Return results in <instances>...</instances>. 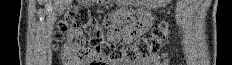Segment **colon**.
I'll return each mask as SVG.
<instances>
[{
  "mask_svg": "<svg viewBox=\"0 0 232 65\" xmlns=\"http://www.w3.org/2000/svg\"><path fill=\"white\" fill-rule=\"evenodd\" d=\"M68 28L83 31L87 37L89 46H84L85 36L82 34L77 41L75 54L88 65L134 63L156 53L167 42L169 35L167 24L161 22L147 34V37H140L136 45H124L117 37H105L98 20L82 6H72L68 9L55 32L56 42L63 39Z\"/></svg>",
  "mask_w": 232,
  "mask_h": 65,
  "instance_id": "1",
  "label": "colon"
}]
</instances>
